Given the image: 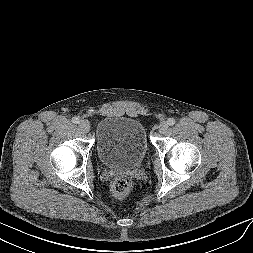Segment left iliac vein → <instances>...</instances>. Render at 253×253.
I'll return each instance as SVG.
<instances>
[{
  "mask_svg": "<svg viewBox=\"0 0 253 253\" xmlns=\"http://www.w3.org/2000/svg\"><path fill=\"white\" fill-rule=\"evenodd\" d=\"M168 123L167 122H161L160 124H159V127H158V130H159V132L160 133H165L167 130H168Z\"/></svg>",
  "mask_w": 253,
  "mask_h": 253,
  "instance_id": "4c4485c4",
  "label": "left iliac vein"
}]
</instances>
